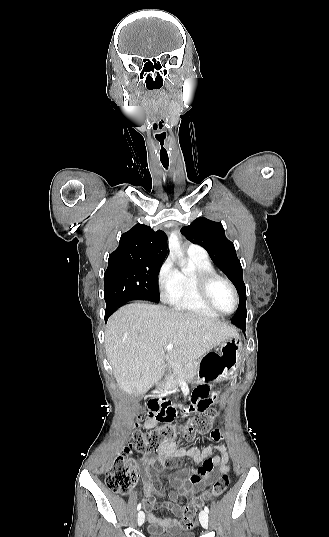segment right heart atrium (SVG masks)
<instances>
[{"label": "right heart atrium", "mask_w": 329, "mask_h": 537, "mask_svg": "<svg viewBox=\"0 0 329 537\" xmlns=\"http://www.w3.org/2000/svg\"><path fill=\"white\" fill-rule=\"evenodd\" d=\"M157 285L163 300H168L178 289L179 271L171 259H166L157 273Z\"/></svg>", "instance_id": "obj_1"}]
</instances>
